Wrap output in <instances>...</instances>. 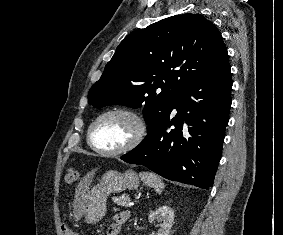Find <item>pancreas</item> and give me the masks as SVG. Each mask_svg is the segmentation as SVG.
Here are the masks:
<instances>
[{
	"mask_svg": "<svg viewBox=\"0 0 283 235\" xmlns=\"http://www.w3.org/2000/svg\"><path fill=\"white\" fill-rule=\"evenodd\" d=\"M113 201L119 206L130 207L129 204L130 198L127 194H123L122 196L115 197Z\"/></svg>",
	"mask_w": 283,
	"mask_h": 235,
	"instance_id": "obj_1",
	"label": "pancreas"
}]
</instances>
